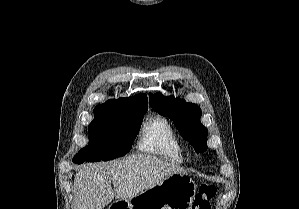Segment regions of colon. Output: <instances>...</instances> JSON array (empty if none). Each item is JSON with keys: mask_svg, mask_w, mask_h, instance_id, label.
I'll list each match as a JSON object with an SVG mask.
<instances>
[{"mask_svg": "<svg viewBox=\"0 0 299 209\" xmlns=\"http://www.w3.org/2000/svg\"><path fill=\"white\" fill-rule=\"evenodd\" d=\"M217 194V188L212 184H202L198 188L192 209H211V201Z\"/></svg>", "mask_w": 299, "mask_h": 209, "instance_id": "obj_1", "label": "colon"}]
</instances>
